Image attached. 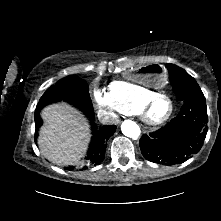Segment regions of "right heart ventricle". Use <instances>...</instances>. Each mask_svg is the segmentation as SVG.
I'll list each match as a JSON object with an SVG mask.
<instances>
[{"label":"right heart ventricle","instance_id":"1","mask_svg":"<svg viewBox=\"0 0 221 221\" xmlns=\"http://www.w3.org/2000/svg\"><path fill=\"white\" fill-rule=\"evenodd\" d=\"M109 94L124 114H137L140 104L155 94L137 83L117 80L109 85Z\"/></svg>","mask_w":221,"mask_h":221}]
</instances>
